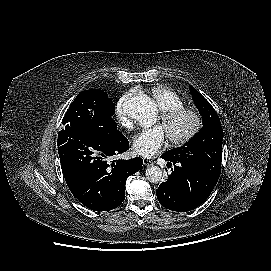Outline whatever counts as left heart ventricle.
<instances>
[{"instance_id": "b2bd125f", "label": "left heart ventricle", "mask_w": 271, "mask_h": 271, "mask_svg": "<svg viewBox=\"0 0 271 271\" xmlns=\"http://www.w3.org/2000/svg\"><path fill=\"white\" fill-rule=\"evenodd\" d=\"M191 125V120L189 117H181L171 123L169 126H164L167 134L180 135L186 132Z\"/></svg>"}]
</instances>
